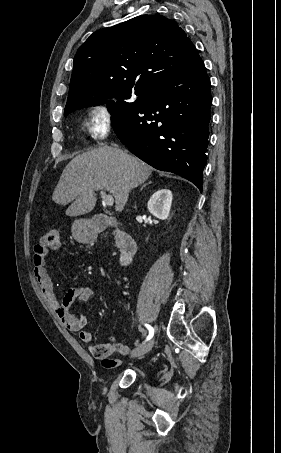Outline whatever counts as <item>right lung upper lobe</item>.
Listing matches in <instances>:
<instances>
[{"instance_id":"right-lung-upper-lobe-1","label":"right lung upper lobe","mask_w":281,"mask_h":453,"mask_svg":"<svg viewBox=\"0 0 281 453\" xmlns=\"http://www.w3.org/2000/svg\"><path fill=\"white\" fill-rule=\"evenodd\" d=\"M176 21L141 15L94 32L78 49L64 114L140 96L198 57ZM116 101V102H117Z\"/></svg>"}]
</instances>
